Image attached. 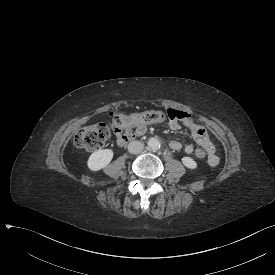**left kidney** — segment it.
<instances>
[{"label":"left kidney","instance_id":"1","mask_svg":"<svg viewBox=\"0 0 275 275\" xmlns=\"http://www.w3.org/2000/svg\"><path fill=\"white\" fill-rule=\"evenodd\" d=\"M182 163L190 169H195L197 167V163L190 157H183Z\"/></svg>","mask_w":275,"mask_h":275}]
</instances>
